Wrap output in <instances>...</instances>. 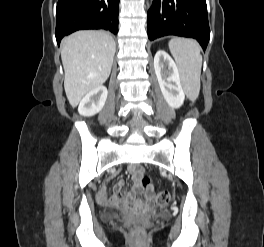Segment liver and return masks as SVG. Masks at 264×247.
Segmentation results:
<instances>
[{
	"mask_svg": "<svg viewBox=\"0 0 264 247\" xmlns=\"http://www.w3.org/2000/svg\"><path fill=\"white\" fill-rule=\"evenodd\" d=\"M115 50L113 37L104 31H78L63 39L64 89L72 107L108 79Z\"/></svg>",
	"mask_w": 264,
	"mask_h": 247,
	"instance_id": "obj_1",
	"label": "liver"
}]
</instances>
